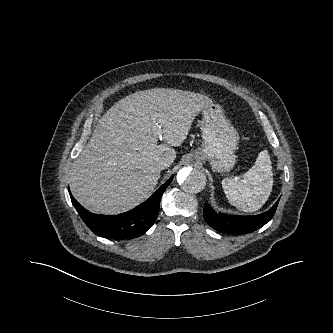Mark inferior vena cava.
Instances as JSON below:
<instances>
[{"label":"inferior vena cava","mask_w":333,"mask_h":333,"mask_svg":"<svg viewBox=\"0 0 333 333\" xmlns=\"http://www.w3.org/2000/svg\"><path fill=\"white\" fill-rule=\"evenodd\" d=\"M156 167L158 169H165V168H168L169 167V163L167 160L165 159H160L156 162Z\"/></svg>","instance_id":"inferior-vena-cava-1"}]
</instances>
